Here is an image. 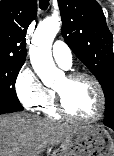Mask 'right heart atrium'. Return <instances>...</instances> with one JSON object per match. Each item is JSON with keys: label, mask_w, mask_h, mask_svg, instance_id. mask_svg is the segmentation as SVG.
<instances>
[{"label": "right heart atrium", "mask_w": 114, "mask_h": 156, "mask_svg": "<svg viewBox=\"0 0 114 156\" xmlns=\"http://www.w3.org/2000/svg\"><path fill=\"white\" fill-rule=\"evenodd\" d=\"M15 92L21 104L33 111L39 110L50 98V90L28 65H24L17 74Z\"/></svg>", "instance_id": "d8ad5b80"}]
</instances>
